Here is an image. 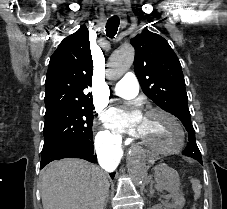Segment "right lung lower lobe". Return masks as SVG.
I'll return each mask as SVG.
<instances>
[{"instance_id":"obj_1","label":"right lung lower lobe","mask_w":227,"mask_h":209,"mask_svg":"<svg viewBox=\"0 0 227 209\" xmlns=\"http://www.w3.org/2000/svg\"><path fill=\"white\" fill-rule=\"evenodd\" d=\"M93 142L90 139H79L65 142L54 147L42 150L40 168L53 160L63 158H81L89 162L96 163L97 157L94 155ZM113 178L115 173L110 174Z\"/></svg>"}]
</instances>
